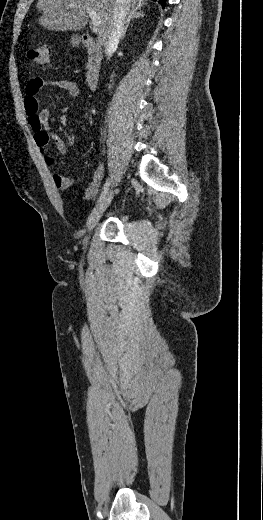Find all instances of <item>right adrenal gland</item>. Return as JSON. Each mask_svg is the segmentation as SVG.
<instances>
[{
	"instance_id": "2a0ac1e0",
	"label": "right adrenal gland",
	"mask_w": 263,
	"mask_h": 520,
	"mask_svg": "<svg viewBox=\"0 0 263 520\" xmlns=\"http://www.w3.org/2000/svg\"><path fill=\"white\" fill-rule=\"evenodd\" d=\"M144 16H145V13L143 11H141V8H132V10L130 11L129 16L127 18V21H126V24H125V27H124V30H123V33L121 36V40H123L125 38L127 29L130 25V22L134 19L144 17Z\"/></svg>"
}]
</instances>
